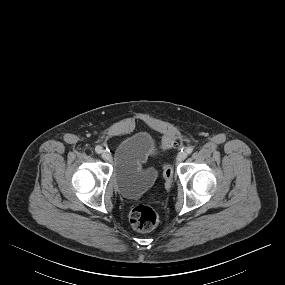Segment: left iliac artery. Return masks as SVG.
Instances as JSON below:
<instances>
[{
	"mask_svg": "<svg viewBox=\"0 0 285 285\" xmlns=\"http://www.w3.org/2000/svg\"><path fill=\"white\" fill-rule=\"evenodd\" d=\"M188 154L192 153L193 152V147L192 146H189L186 148L185 150Z\"/></svg>",
	"mask_w": 285,
	"mask_h": 285,
	"instance_id": "obj_1",
	"label": "left iliac artery"
}]
</instances>
